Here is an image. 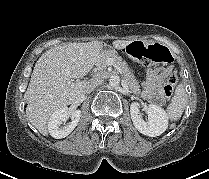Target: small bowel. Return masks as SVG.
<instances>
[{"label": "small bowel", "instance_id": "1", "mask_svg": "<svg viewBox=\"0 0 209 179\" xmlns=\"http://www.w3.org/2000/svg\"><path fill=\"white\" fill-rule=\"evenodd\" d=\"M171 72V67L149 68L146 72V81L142 96L155 104L164 103L162 85Z\"/></svg>", "mask_w": 209, "mask_h": 179}]
</instances>
